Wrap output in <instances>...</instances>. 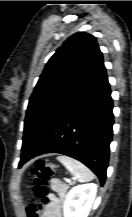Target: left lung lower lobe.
<instances>
[{
  "label": "left lung lower lobe",
  "mask_w": 132,
  "mask_h": 217,
  "mask_svg": "<svg viewBox=\"0 0 132 217\" xmlns=\"http://www.w3.org/2000/svg\"><path fill=\"white\" fill-rule=\"evenodd\" d=\"M112 109L111 90L103 64L39 145L30 153L22 151L19 168L38 155L60 153L84 163L103 185L113 133Z\"/></svg>",
  "instance_id": "1"
}]
</instances>
